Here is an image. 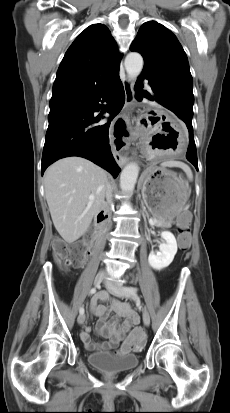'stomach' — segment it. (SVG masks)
Listing matches in <instances>:
<instances>
[{
	"label": "stomach",
	"mask_w": 230,
	"mask_h": 413,
	"mask_svg": "<svg viewBox=\"0 0 230 413\" xmlns=\"http://www.w3.org/2000/svg\"><path fill=\"white\" fill-rule=\"evenodd\" d=\"M188 194L187 183L174 172L155 166L144 172L143 201L158 221L174 219L184 209Z\"/></svg>",
	"instance_id": "1"
}]
</instances>
